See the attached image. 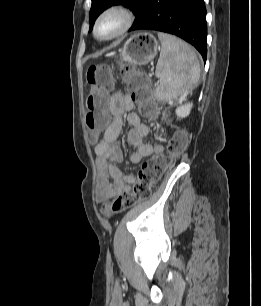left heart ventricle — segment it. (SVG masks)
<instances>
[{"mask_svg":"<svg viewBox=\"0 0 261 306\" xmlns=\"http://www.w3.org/2000/svg\"><path fill=\"white\" fill-rule=\"evenodd\" d=\"M120 26V19L117 16H110L103 21L99 28L100 36H107L115 32Z\"/></svg>","mask_w":261,"mask_h":306,"instance_id":"b2bd125f","label":"left heart ventricle"}]
</instances>
